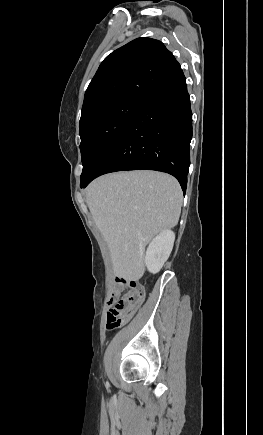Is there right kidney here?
<instances>
[{"mask_svg": "<svg viewBox=\"0 0 263 435\" xmlns=\"http://www.w3.org/2000/svg\"><path fill=\"white\" fill-rule=\"evenodd\" d=\"M174 240V232L165 229L150 242L145 256L148 271L154 274L160 271L172 251Z\"/></svg>", "mask_w": 263, "mask_h": 435, "instance_id": "obj_1", "label": "right kidney"}]
</instances>
